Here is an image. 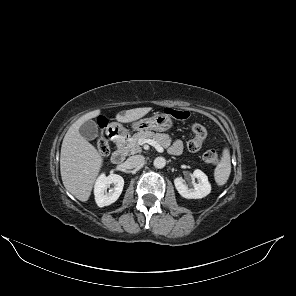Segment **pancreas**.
Masks as SVG:
<instances>
[{"instance_id":"1","label":"pancreas","mask_w":296,"mask_h":296,"mask_svg":"<svg viewBox=\"0 0 296 296\" xmlns=\"http://www.w3.org/2000/svg\"><path fill=\"white\" fill-rule=\"evenodd\" d=\"M153 139L159 145L167 148L171 144V137L168 134L154 133L152 131H140L135 133L128 141L125 151L130 154H136L142 152V147L140 146L139 141L142 139Z\"/></svg>"}]
</instances>
